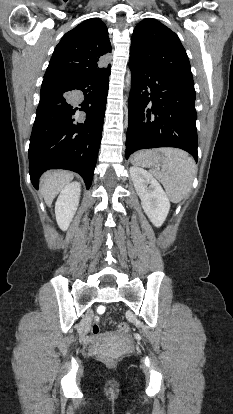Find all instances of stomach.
Here are the masks:
<instances>
[{"label": "stomach", "instance_id": "1", "mask_svg": "<svg viewBox=\"0 0 233 414\" xmlns=\"http://www.w3.org/2000/svg\"><path fill=\"white\" fill-rule=\"evenodd\" d=\"M139 160L148 167L158 166L164 160L160 150H147L138 153Z\"/></svg>", "mask_w": 233, "mask_h": 414}]
</instances>
